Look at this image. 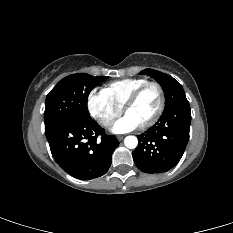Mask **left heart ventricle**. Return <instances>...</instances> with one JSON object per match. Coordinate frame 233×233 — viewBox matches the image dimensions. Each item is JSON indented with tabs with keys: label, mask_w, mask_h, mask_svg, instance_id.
Masks as SVG:
<instances>
[{
	"label": "left heart ventricle",
	"mask_w": 233,
	"mask_h": 233,
	"mask_svg": "<svg viewBox=\"0 0 233 233\" xmlns=\"http://www.w3.org/2000/svg\"><path fill=\"white\" fill-rule=\"evenodd\" d=\"M159 106L158 90L150 86L138 98V100L131 105L126 113L134 116L140 124L148 121Z\"/></svg>",
	"instance_id": "1"
}]
</instances>
